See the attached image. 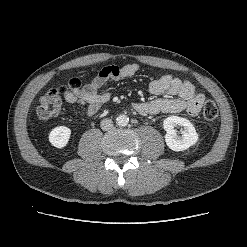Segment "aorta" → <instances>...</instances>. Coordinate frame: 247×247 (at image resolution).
Here are the masks:
<instances>
[{
  "instance_id": "762f6f07",
  "label": "aorta",
  "mask_w": 247,
  "mask_h": 247,
  "mask_svg": "<svg viewBox=\"0 0 247 247\" xmlns=\"http://www.w3.org/2000/svg\"><path fill=\"white\" fill-rule=\"evenodd\" d=\"M116 123L119 126H127L129 123V118L126 115L121 114L116 118Z\"/></svg>"
}]
</instances>
